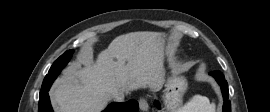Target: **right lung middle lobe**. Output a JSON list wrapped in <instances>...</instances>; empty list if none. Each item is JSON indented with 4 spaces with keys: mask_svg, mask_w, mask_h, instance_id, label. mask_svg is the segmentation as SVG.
<instances>
[{
    "mask_svg": "<svg viewBox=\"0 0 270 112\" xmlns=\"http://www.w3.org/2000/svg\"><path fill=\"white\" fill-rule=\"evenodd\" d=\"M74 53L73 50L66 51L63 55H61L51 66L49 73L46 77H52L56 79L58 74L61 70L66 66V64L71 59L72 54Z\"/></svg>",
    "mask_w": 270,
    "mask_h": 112,
    "instance_id": "obj_1",
    "label": "right lung middle lobe"
}]
</instances>
